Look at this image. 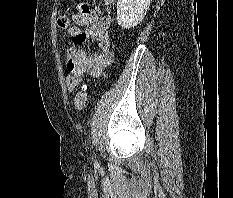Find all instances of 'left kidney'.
Here are the masks:
<instances>
[{
    "label": "left kidney",
    "mask_w": 233,
    "mask_h": 198,
    "mask_svg": "<svg viewBox=\"0 0 233 198\" xmlns=\"http://www.w3.org/2000/svg\"><path fill=\"white\" fill-rule=\"evenodd\" d=\"M152 0H118L117 22L122 28L137 26L146 15Z\"/></svg>",
    "instance_id": "left-kidney-1"
}]
</instances>
